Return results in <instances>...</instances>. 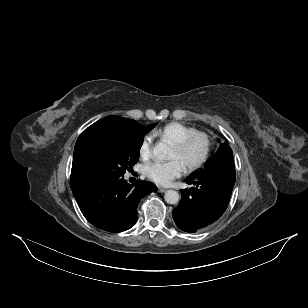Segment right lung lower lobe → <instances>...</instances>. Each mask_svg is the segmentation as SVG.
<instances>
[{"label":"right lung lower lobe","mask_w":308,"mask_h":308,"mask_svg":"<svg viewBox=\"0 0 308 308\" xmlns=\"http://www.w3.org/2000/svg\"><path fill=\"white\" fill-rule=\"evenodd\" d=\"M156 191L150 182L135 186L123 177L92 178L72 189L84 217L95 227L113 233L130 229L136 222L141 198Z\"/></svg>","instance_id":"right-lung-lower-lobe-1"}]
</instances>
